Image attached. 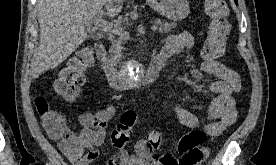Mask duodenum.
<instances>
[{
    "mask_svg": "<svg viewBox=\"0 0 276 165\" xmlns=\"http://www.w3.org/2000/svg\"><path fill=\"white\" fill-rule=\"evenodd\" d=\"M97 59L103 69V72L109 82V85L120 90L128 86L129 79L125 73L120 71L108 58L107 51L103 43H96L94 46ZM166 63V59L162 55H158L151 61L144 72L143 79L150 81L156 79L161 74Z\"/></svg>",
    "mask_w": 276,
    "mask_h": 165,
    "instance_id": "obj_1",
    "label": "duodenum"
}]
</instances>
